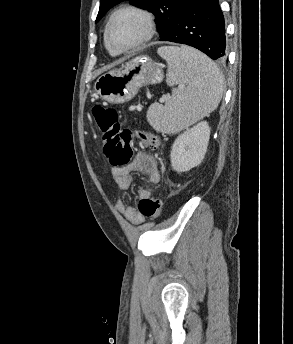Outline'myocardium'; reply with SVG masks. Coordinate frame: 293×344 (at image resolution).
<instances>
[{"label":"myocardium","instance_id":"myocardium-1","mask_svg":"<svg viewBox=\"0 0 293 344\" xmlns=\"http://www.w3.org/2000/svg\"><path fill=\"white\" fill-rule=\"evenodd\" d=\"M124 13H132L135 14L136 16H138L143 24V34L141 36V38L134 44L128 46V47H124V48H115L111 41H110V36H109V32H110V28L111 25L113 23V21L121 14ZM156 32V23H155V19L154 16L146 9L136 6V5H124L119 7L118 9L114 10L107 23L105 26V30H104V39H105V43L107 45V47L114 53L116 54H123V53H128V52H132L135 50L140 49L141 47H143L144 45H146L154 36Z\"/></svg>","mask_w":293,"mask_h":344}]
</instances>
